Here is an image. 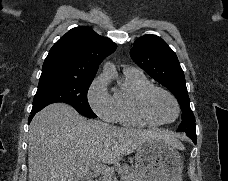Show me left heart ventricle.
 Listing matches in <instances>:
<instances>
[{
    "label": "left heart ventricle",
    "mask_w": 228,
    "mask_h": 181,
    "mask_svg": "<svg viewBox=\"0 0 228 181\" xmlns=\"http://www.w3.org/2000/svg\"><path fill=\"white\" fill-rule=\"evenodd\" d=\"M149 110L155 114H161L166 119L174 114L171 101L162 93H155L149 102Z\"/></svg>",
    "instance_id": "1"
}]
</instances>
